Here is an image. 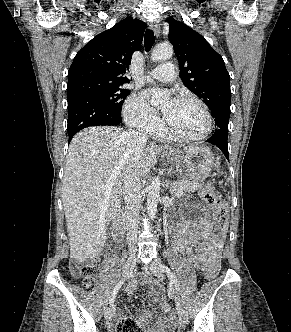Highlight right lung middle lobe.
I'll use <instances>...</instances> for the list:
<instances>
[{
  "label": "right lung middle lobe",
  "mask_w": 291,
  "mask_h": 332,
  "mask_svg": "<svg viewBox=\"0 0 291 332\" xmlns=\"http://www.w3.org/2000/svg\"><path fill=\"white\" fill-rule=\"evenodd\" d=\"M130 93L129 90L122 88L121 86H113L107 88H100V89H92L81 94L88 95L93 97L106 105L110 108L114 109L121 115V108L124 100ZM80 94V95H81ZM70 99V98H67Z\"/></svg>",
  "instance_id": "1"
}]
</instances>
